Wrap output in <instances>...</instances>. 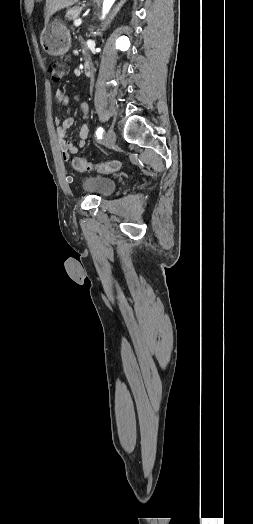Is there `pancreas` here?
Returning a JSON list of instances; mask_svg holds the SVG:
<instances>
[{
    "instance_id": "cf45deb5",
    "label": "pancreas",
    "mask_w": 253,
    "mask_h": 524,
    "mask_svg": "<svg viewBox=\"0 0 253 524\" xmlns=\"http://www.w3.org/2000/svg\"><path fill=\"white\" fill-rule=\"evenodd\" d=\"M81 10H82V7L74 6V7L70 8V9L67 11V13H66V17H67L69 20H76V18L80 15Z\"/></svg>"
}]
</instances>
